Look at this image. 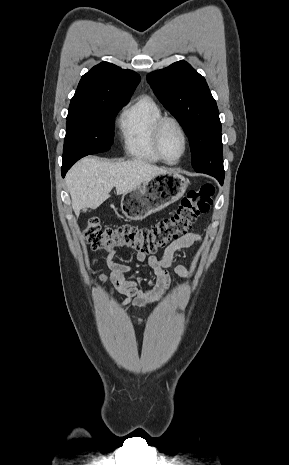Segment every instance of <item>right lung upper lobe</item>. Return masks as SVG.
Instances as JSON below:
<instances>
[{"label": "right lung upper lobe", "mask_w": 289, "mask_h": 465, "mask_svg": "<svg viewBox=\"0 0 289 465\" xmlns=\"http://www.w3.org/2000/svg\"><path fill=\"white\" fill-rule=\"evenodd\" d=\"M139 82L140 76L134 71L102 62L82 76L67 117L89 116L101 105L129 100Z\"/></svg>", "instance_id": "1"}]
</instances>
